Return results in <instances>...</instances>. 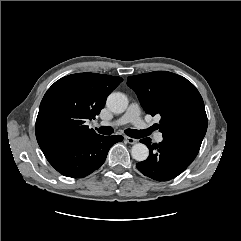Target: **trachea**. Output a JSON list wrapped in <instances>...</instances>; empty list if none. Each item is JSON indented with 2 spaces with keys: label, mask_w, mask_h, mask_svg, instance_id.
Returning a JSON list of instances; mask_svg holds the SVG:
<instances>
[{
  "label": "trachea",
  "mask_w": 241,
  "mask_h": 241,
  "mask_svg": "<svg viewBox=\"0 0 241 241\" xmlns=\"http://www.w3.org/2000/svg\"><path fill=\"white\" fill-rule=\"evenodd\" d=\"M96 130L103 135H111L113 133V128L110 126H101ZM151 129L148 130H135V129H127L125 133L132 138H143L150 133Z\"/></svg>",
  "instance_id": "obj_1"
}]
</instances>
